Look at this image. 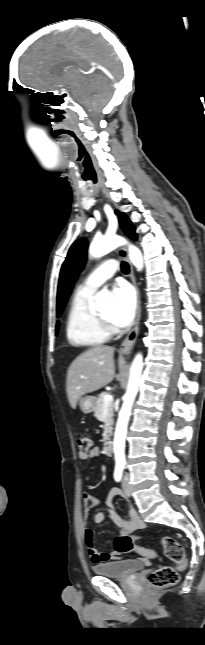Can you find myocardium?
Masks as SVG:
<instances>
[{
    "label": "myocardium",
    "mask_w": 205,
    "mask_h": 645,
    "mask_svg": "<svg viewBox=\"0 0 205 645\" xmlns=\"http://www.w3.org/2000/svg\"><path fill=\"white\" fill-rule=\"evenodd\" d=\"M96 318L101 324L102 328L104 331L108 334H113L117 332V328L115 327L114 323L104 316H102L100 313L95 312Z\"/></svg>",
    "instance_id": "obj_1"
}]
</instances>
